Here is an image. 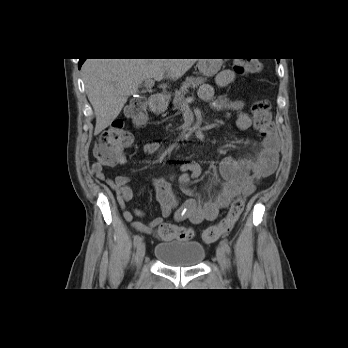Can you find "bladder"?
I'll list each match as a JSON object with an SVG mask.
<instances>
[{
    "mask_svg": "<svg viewBox=\"0 0 348 348\" xmlns=\"http://www.w3.org/2000/svg\"><path fill=\"white\" fill-rule=\"evenodd\" d=\"M153 254L166 266L193 267L203 261L205 248L198 242L173 240L157 244Z\"/></svg>",
    "mask_w": 348,
    "mask_h": 348,
    "instance_id": "bladder-1",
    "label": "bladder"
}]
</instances>
